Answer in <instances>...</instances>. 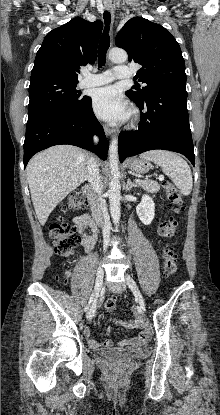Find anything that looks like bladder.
Here are the masks:
<instances>
[{"label": "bladder", "mask_w": 220, "mask_h": 415, "mask_svg": "<svg viewBox=\"0 0 220 415\" xmlns=\"http://www.w3.org/2000/svg\"><path fill=\"white\" fill-rule=\"evenodd\" d=\"M150 347L148 345H141L136 347H129L124 349H109L100 351V356L114 362H127L138 359L148 355Z\"/></svg>", "instance_id": "obj_1"}]
</instances>
